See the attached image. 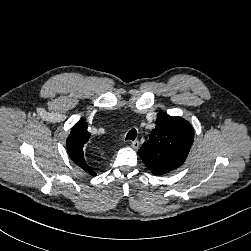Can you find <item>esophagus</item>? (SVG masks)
Masks as SVG:
<instances>
[{"mask_svg":"<svg viewBox=\"0 0 251 251\" xmlns=\"http://www.w3.org/2000/svg\"><path fill=\"white\" fill-rule=\"evenodd\" d=\"M140 143L138 140H135L131 143V147L134 149H137L139 147Z\"/></svg>","mask_w":251,"mask_h":251,"instance_id":"34e87169","label":"esophagus"}]
</instances>
